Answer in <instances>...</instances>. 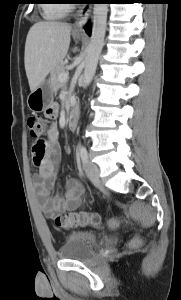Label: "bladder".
<instances>
[{"instance_id": "bladder-1", "label": "bladder", "mask_w": 181, "mask_h": 300, "mask_svg": "<svg viewBox=\"0 0 181 300\" xmlns=\"http://www.w3.org/2000/svg\"><path fill=\"white\" fill-rule=\"evenodd\" d=\"M98 235L91 231H72L66 238L61 251L64 260H85L97 246Z\"/></svg>"}]
</instances>
